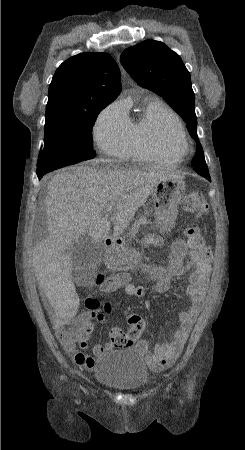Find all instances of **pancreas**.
<instances>
[{
  "instance_id": "1",
  "label": "pancreas",
  "mask_w": 245,
  "mask_h": 450,
  "mask_svg": "<svg viewBox=\"0 0 245 450\" xmlns=\"http://www.w3.org/2000/svg\"><path fill=\"white\" fill-rule=\"evenodd\" d=\"M148 223H151L147 220L146 217L140 216L138 220H135V222L132 224V227L130 228V235L133 237L139 230L141 225H146Z\"/></svg>"
}]
</instances>
